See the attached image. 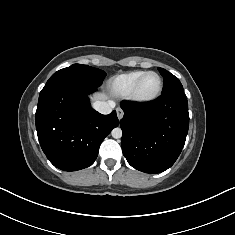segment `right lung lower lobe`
Segmentation results:
<instances>
[{
	"label": "right lung lower lobe",
	"mask_w": 235,
	"mask_h": 235,
	"mask_svg": "<svg viewBox=\"0 0 235 235\" xmlns=\"http://www.w3.org/2000/svg\"><path fill=\"white\" fill-rule=\"evenodd\" d=\"M96 87L80 81L46 84L39 95L36 129L48 160L64 171L89 167L100 144L118 126L116 111L102 115L91 108L88 95Z\"/></svg>",
	"instance_id": "obj_1"
}]
</instances>
